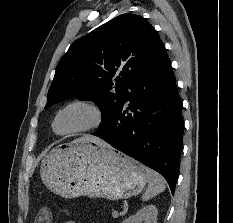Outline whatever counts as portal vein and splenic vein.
<instances>
[{"mask_svg":"<svg viewBox=\"0 0 233 223\" xmlns=\"http://www.w3.org/2000/svg\"><path fill=\"white\" fill-rule=\"evenodd\" d=\"M112 215H113V217H118L119 213H118V211H113Z\"/></svg>","mask_w":233,"mask_h":223,"instance_id":"1","label":"portal vein and splenic vein"}]
</instances>
